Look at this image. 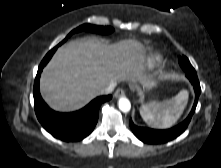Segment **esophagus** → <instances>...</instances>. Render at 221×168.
<instances>
[{"mask_svg":"<svg viewBox=\"0 0 221 168\" xmlns=\"http://www.w3.org/2000/svg\"><path fill=\"white\" fill-rule=\"evenodd\" d=\"M125 95V91H124V89H122V88H118L117 90H116V92L114 93V97L115 98H119V97H122V96H124Z\"/></svg>","mask_w":221,"mask_h":168,"instance_id":"1","label":"esophagus"}]
</instances>
